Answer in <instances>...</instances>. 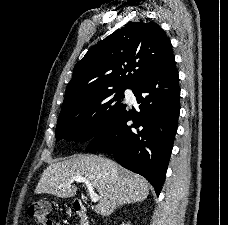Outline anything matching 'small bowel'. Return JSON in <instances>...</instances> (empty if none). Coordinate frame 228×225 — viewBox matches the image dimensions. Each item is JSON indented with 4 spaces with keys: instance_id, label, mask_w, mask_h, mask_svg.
I'll return each instance as SVG.
<instances>
[{
    "instance_id": "obj_1",
    "label": "small bowel",
    "mask_w": 228,
    "mask_h": 225,
    "mask_svg": "<svg viewBox=\"0 0 228 225\" xmlns=\"http://www.w3.org/2000/svg\"><path fill=\"white\" fill-rule=\"evenodd\" d=\"M55 225H61L60 223H58V222H55Z\"/></svg>"
}]
</instances>
